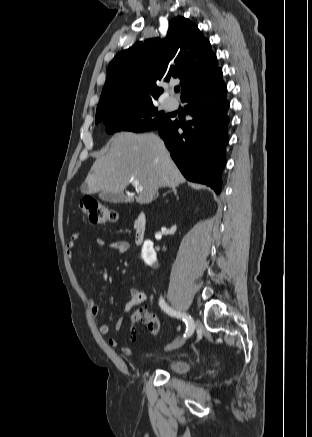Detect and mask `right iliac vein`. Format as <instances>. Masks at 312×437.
<instances>
[{"instance_id": "right-iliac-vein-1", "label": "right iliac vein", "mask_w": 312, "mask_h": 437, "mask_svg": "<svg viewBox=\"0 0 312 437\" xmlns=\"http://www.w3.org/2000/svg\"><path fill=\"white\" fill-rule=\"evenodd\" d=\"M194 328H195V323H194ZM182 344H183V339L177 338L172 344H170L167 347V350H173V349L179 348Z\"/></svg>"}]
</instances>
